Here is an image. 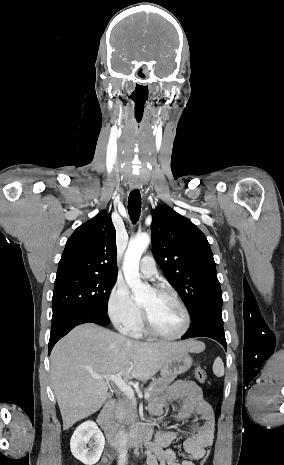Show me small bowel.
Returning a JSON list of instances; mask_svg holds the SVG:
<instances>
[{
    "mask_svg": "<svg viewBox=\"0 0 284 465\" xmlns=\"http://www.w3.org/2000/svg\"><path fill=\"white\" fill-rule=\"evenodd\" d=\"M171 404L175 405L172 415L176 421H191L192 434L182 444L184 457L178 456L170 447L178 435L175 426L154 433L156 424L167 414L166 409ZM146 429L150 433L146 443L147 465H194L203 458L206 448L213 444V410L198 384L179 380L152 404L151 420ZM107 461V457L103 458L102 465H106Z\"/></svg>",
    "mask_w": 284,
    "mask_h": 465,
    "instance_id": "small-bowel-1",
    "label": "small bowel"
}]
</instances>
